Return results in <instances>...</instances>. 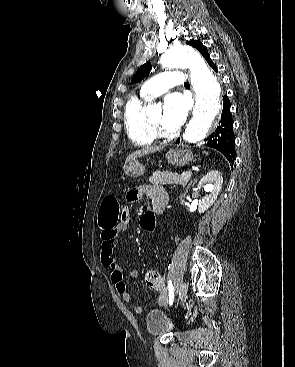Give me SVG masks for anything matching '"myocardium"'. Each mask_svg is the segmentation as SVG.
<instances>
[{
    "mask_svg": "<svg viewBox=\"0 0 295 367\" xmlns=\"http://www.w3.org/2000/svg\"><path fill=\"white\" fill-rule=\"evenodd\" d=\"M148 124L151 128V130L156 134V135H162L163 134V130L161 128L160 125L154 124L150 119H147Z\"/></svg>",
    "mask_w": 295,
    "mask_h": 367,
    "instance_id": "1",
    "label": "myocardium"
}]
</instances>
